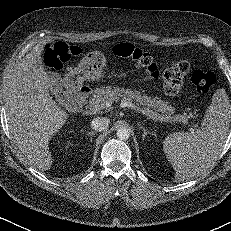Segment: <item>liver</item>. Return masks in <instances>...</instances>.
Instances as JSON below:
<instances>
[{"mask_svg": "<svg viewBox=\"0 0 231 231\" xmlns=\"http://www.w3.org/2000/svg\"><path fill=\"white\" fill-rule=\"evenodd\" d=\"M46 41L38 43L16 66L6 92L10 134L21 153L38 169L52 166L49 140L68 114L49 94L50 80L41 58Z\"/></svg>", "mask_w": 231, "mask_h": 231, "instance_id": "liver-1", "label": "liver"}]
</instances>
